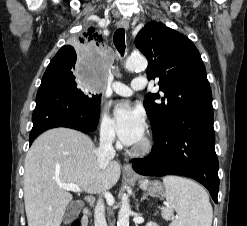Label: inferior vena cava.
Segmentation results:
<instances>
[{
	"label": "inferior vena cava",
	"mask_w": 247,
	"mask_h": 226,
	"mask_svg": "<svg viewBox=\"0 0 247 226\" xmlns=\"http://www.w3.org/2000/svg\"><path fill=\"white\" fill-rule=\"evenodd\" d=\"M115 138V132L112 126H105L100 131V145L96 150L98 163L101 169H105L111 159L115 156V150L112 146V142ZM104 196H107L108 192H103ZM94 224L95 226H107L105 218V208L102 196L94 210Z\"/></svg>",
	"instance_id": "obj_1"
}]
</instances>
